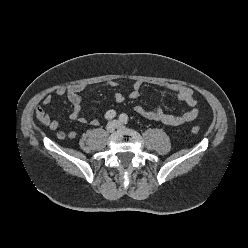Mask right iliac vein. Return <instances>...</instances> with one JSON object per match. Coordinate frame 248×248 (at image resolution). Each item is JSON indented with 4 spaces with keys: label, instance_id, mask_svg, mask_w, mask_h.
<instances>
[{
    "label": "right iliac vein",
    "instance_id": "obj_1",
    "mask_svg": "<svg viewBox=\"0 0 248 248\" xmlns=\"http://www.w3.org/2000/svg\"><path fill=\"white\" fill-rule=\"evenodd\" d=\"M116 128H117V125L115 122H109L106 126V130L108 133H113Z\"/></svg>",
    "mask_w": 248,
    "mask_h": 248
}]
</instances>
